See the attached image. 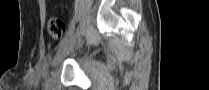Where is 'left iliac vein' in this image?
<instances>
[{
	"mask_svg": "<svg viewBox=\"0 0 209 90\" xmlns=\"http://www.w3.org/2000/svg\"><path fill=\"white\" fill-rule=\"evenodd\" d=\"M74 44V39H70L68 42L62 44L54 57L52 65H59L63 59L72 51Z\"/></svg>",
	"mask_w": 209,
	"mask_h": 90,
	"instance_id": "obj_1",
	"label": "left iliac vein"
}]
</instances>
